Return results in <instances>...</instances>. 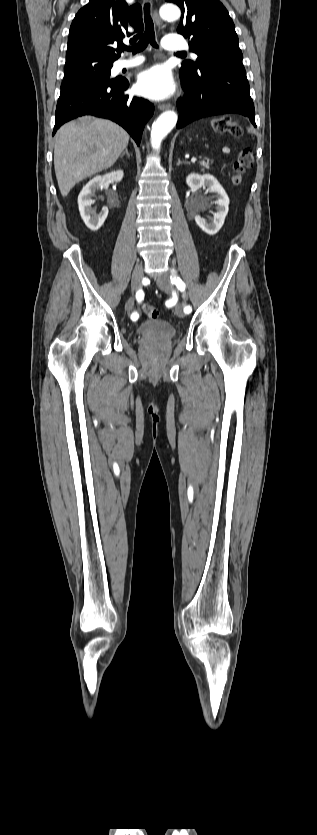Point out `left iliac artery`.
<instances>
[{"instance_id":"obj_1","label":"left iliac artery","mask_w":317,"mask_h":835,"mask_svg":"<svg viewBox=\"0 0 317 835\" xmlns=\"http://www.w3.org/2000/svg\"><path fill=\"white\" fill-rule=\"evenodd\" d=\"M171 283L175 284L177 286L178 290H180V291L185 290L186 285L179 277L171 276ZM191 311H192V308H191L190 305H187V306L184 307V312L185 313H190Z\"/></svg>"}]
</instances>
